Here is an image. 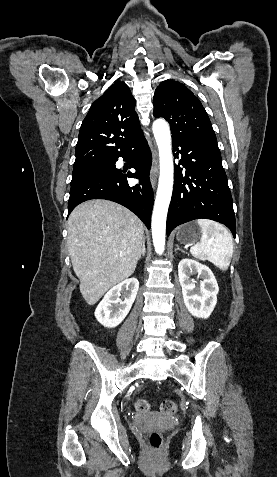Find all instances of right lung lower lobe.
<instances>
[{"mask_svg":"<svg viewBox=\"0 0 277 477\" xmlns=\"http://www.w3.org/2000/svg\"><path fill=\"white\" fill-rule=\"evenodd\" d=\"M119 157L127 159L135 173H125L115 166ZM151 152L144 136L119 155L107 161L108 166L71 184L68 215L80 203L91 199L117 202L135 213L150 228L154 202L149 180ZM127 178H139L135 186H129Z\"/></svg>","mask_w":277,"mask_h":477,"instance_id":"obj_1","label":"right lung lower lobe"}]
</instances>
